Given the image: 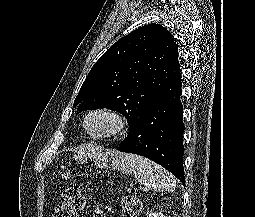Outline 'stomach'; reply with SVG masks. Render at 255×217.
Masks as SVG:
<instances>
[{
	"mask_svg": "<svg viewBox=\"0 0 255 217\" xmlns=\"http://www.w3.org/2000/svg\"><path fill=\"white\" fill-rule=\"evenodd\" d=\"M70 173L68 172L66 175L64 174V177L67 178L69 177Z\"/></svg>",
	"mask_w": 255,
	"mask_h": 217,
	"instance_id": "1",
	"label": "stomach"
}]
</instances>
